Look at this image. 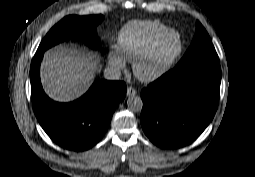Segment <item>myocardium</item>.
<instances>
[{"mask_svg": "<svg viewBox=\"0 0 255 177\" xmlns=\"http://www.w3.org/2000/svg\"><path fill=\"white\" fill-rule=\"evenodd\" d=\"M174 34L177 36L178 43L176 49L169 55L165 62L152 74L144 75L139 71L141 63L154 51L156 46L164 39L166 36ZM183 48V42L180 34L174 29H166L163 32L156 35L149 43L146 45L143 50L137 55L133 62V73L134 75L142 82H154L162 77L180 55Z\"/></svg>", "mask_w": 255, "mask_h": 177, "instance_id": "1", "label": "myocardium"}]
</instances>
